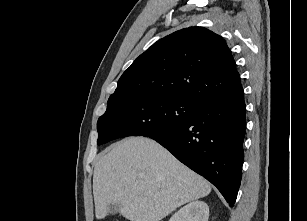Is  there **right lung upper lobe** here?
Instances as JSON below:
<instances>
[{"label": "right lung upper lobe", "instance_id": "cb5924a9", "mask_svg": "<svg viewBox=\"0 0 307 221\" xmlns=\"http://www.w3.org/2000/svg\"><path fill=\"white\" fill-rule=\"evenodd\" d=\"M243 90L231 52L221 36L203 28L176 31L135 59L108 103L162 95L199 105Z\"/></svg>", "mask_w": 307, "mask_h": 221}]
</instances>
